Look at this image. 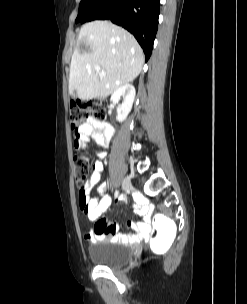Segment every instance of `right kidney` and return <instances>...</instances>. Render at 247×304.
<instances>
[{
    "mask_svg": "<svg viewBox=\"0 0 247 304\" xmlns=\"http://www.w3.org/2000/svg\"><path fill=\"white\" fill-rule=\"evenodd\" d=\"M135 88L132 84H124L120 86L111 96V102L117 104L120 97H123V102L117 107V120L123 122L132 109V105L135 99Z\"/></svg>",
    "mask_w": 247,
    "mask_h": 304,
    "instance_id": "right-kidney-1",
    "label": "right kidney"
}]
</instances>
